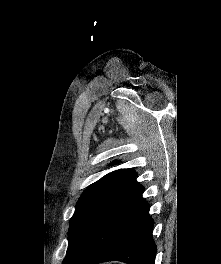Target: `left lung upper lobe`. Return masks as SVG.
Instances as JSON below:
<instances>
[{"label":"left lung upper lobe","mask_w":221,"mask_h":264,"mask_svg":"<svg viewBox=\"0 0 221 264\" xmlns=\"http://www.w3.org/2000/svg\"><path fill=\"white\" fill-rule=\"evenodd\" d=\"M132 169L108 173L89 186L78 200L69 226V254L87 234L120 202L131 195L140 184Z\"/></svg>","instance_id":"obj_1"}]
</instances>
